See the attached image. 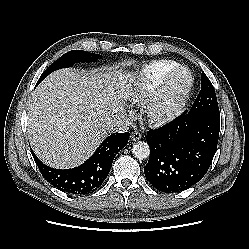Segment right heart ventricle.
Wrapping results in <instances>:
<instances>
[{"mask_svg":"<svg viewBox=\"0 0 249 249\" xmlns=\"http://www.w3.org/2000/svg\"><path fill=\"white\" fill-rule=\"evenodd\" d=\"M178 65L174 60H155L143 66L131 86L130 102L143 103L158 88L163 77Z\"/></svg>","mask_w":249,"mask_h":249,"instance_id":"e07e8e85","label":"right heart ventricle"}]
</instances>
